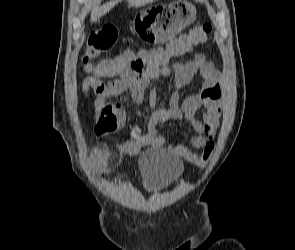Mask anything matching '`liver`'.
<instances>
[{
  "label": "liver",
  "instance_id": "6515ba94",
  "mask_svg": "<svg viewBox=\"0 0 295 250\" xmlns=\"http://www.w3.org/2000/svg\"><path fill=\"white\" fill-rule=\"evenodd\" d=\"M121 0H110L103 5H96L91 11V22L97 21L100 17L107 14L111 9ZM129 5L134 7H141L148 3H153L156 0H127Z\"/></svg>",
  "mask_w": 295,
  "mask_h": 250
}]
</instances>
